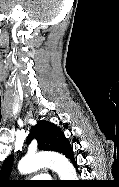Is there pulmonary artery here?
<instances>
[{
  "instance_id": "e3ab8cb5",
  "label": "pulmonary artery",
  "mask_w": 119,
  "mask_h": 187,
  "mask_svg": "<svg viewBox=\"0 0 119 187\" xmlns=\"http://www.w3.org/2000/svg\"><path fill=\"white\" fill-rule=\"evenodd\" d=\"M49 177L47 175L41 174V175H37L34 177V179H41V180H46Z\"/></svg>"
}]
</instances>
